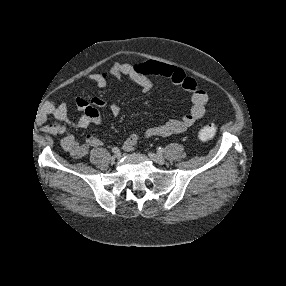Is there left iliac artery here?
I'll list each match as a JSON object with an SVG mask.
<instances>
[{
    "instance_id": "obj_1",
    "label": "left iliac artery",
    "mask_w": 286,
    "mask_h": 286,
    "mask_svg": "<svg viewBox=\"0 0 286 286\" xmlns=\"http://www.w3.org/2000/svg\"><path fill=\"white\" fill-rule=\"evenodd\" d=\"M158 152H159V153H163V152H164V149H163L162 147H159V148H158Z\"/></svg>"
}]
</instances>
